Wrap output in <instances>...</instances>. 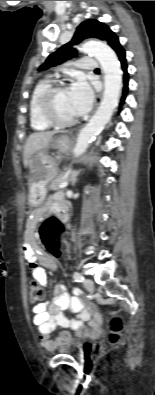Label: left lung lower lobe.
<instances>
[{
    "mask_svg": "<svg viewBox=\"0 0 155 395\" xmlns=\"http://www.w3.org/2000/svg\"><path fill=\"white\" fill-rule=\"evenodd\" d=\"M119 57V61L121 63V68L123 71V83H124V88H123V96L121 98V104L124 103L125 101V97L128 91V80H129V74L127 72V60H126V56H125V51H121L118 54Z\"/></svg>",
    "mask_w": 155,
    "mask_h": 395,
    "instance_id": "1",
    "label": "left lung lower lobe"
}]
</instances>
